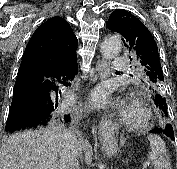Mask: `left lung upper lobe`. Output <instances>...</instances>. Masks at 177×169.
<instances>
[{
	"instance_id": "1",
	"label": "left lung upper lobe",
	"mask_w": 177,
	"mask_h": 169,
	"mask_svg": "<svg viewBox=\"0 0 177 169\" xmlns=\"http://www.w3.org/2000/svg\"><path fill=\"white\" fill-rule=\"evenodd\" d=\"M106 28L122 36V41L130 54L141 63V74L149 89L160 96L164 82L163 70L159 60L157 44L150 31L134 15L124 9H116L109 17ZM131 59V58H130ZM161 97V96H160ZM160 108L168 116L165 98L161 97ZM171 124L166 120L164 126Z\"/></svg>"
}]
</instances>
